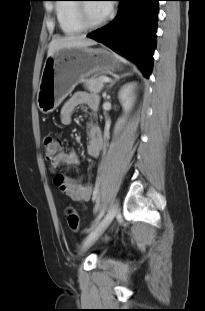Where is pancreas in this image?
<instances>
[{
	"mask_svg": "<svg viewBox=\"0 0 205 311\" xmlns=\"http://www.w3.org/2000/svg\"><path fill=\"white\" fill-rule=\"evenodd\" d=\"M105 76H99L84 81V87L91 93H100L105 85V82L102 81V78Z\"/></svg>",
	"mask_w": 205,
	"mask_h": 311,
	"instance_id": "pancreas-1",
	"label": "pancreas"
}]
</instances>
